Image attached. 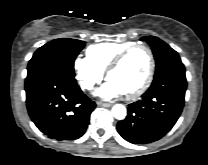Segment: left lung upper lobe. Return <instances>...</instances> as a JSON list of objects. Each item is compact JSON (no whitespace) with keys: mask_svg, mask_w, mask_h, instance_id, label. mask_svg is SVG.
<instances>
[{"mask_svg":"<svg viewBox=\"0 0 208 165\" xmlns=\"http://www.w3.org/2000/svg\"><path fill=\"white\" fill-rule=\"evenodd\" d=\"M141 40L147 41L153 50L156 60L155 75L171 67L183 65L178 53L161 39L155 36H145Z\"/></svg>","mask_w":208,"mask_h":165,"instance_id":"1","label":"left lung upper lobe"}]
</instances>
